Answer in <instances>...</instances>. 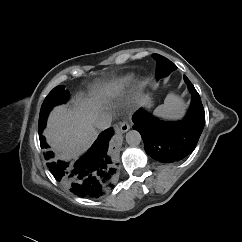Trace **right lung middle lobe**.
Segmentation results:
<instances>
[{"label":"right lung middle lobe","mask_w":242,"mask_h":242,"mask_svg":"<svg viewBox=\"0 0 242 242\" xmlns=\"http://www.w3.org/2000/svg\"><path fill=\"white\" fill-rule=\"evenodd\" d=\"M68 98H69V92L68 90H65L64 85L55 87L49 93V95L45 98L41 106L40 116H39V132L43 131L46 124L47 116L51 111V109L58 104L65 103L68 100Z\"/></svg>","instance_id":"obj_1"}]
</instances>
